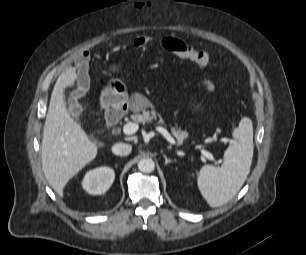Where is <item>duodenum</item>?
<instances>
[{"instance_id":"410a0bca","label":"duodenum","mask_w":306,"mask_h":255,"mask_svg":"<svg viewBox=\"0 0 306 255\" xmlns=\"http://www.w3.org/2000/svg\"><path fill=\"white\" fill-rule=\"evenodd\" d=\"M125 113V108H112L106 112V120L109 125L115 126L119 123Z\"/></svg>"}]
</instances>
